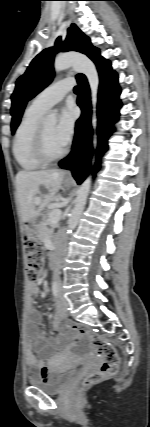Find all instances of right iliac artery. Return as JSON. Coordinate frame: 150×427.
<instances>
[{"label":"right iliac artery","instance_id":"1","mask_svg":"<svg viewBox=\"0 0 150 427\" xmlns=\"http://www.w3.org/2000/svg\"><path fill=\"white\" fill-rule=\"evenodd\" d=\"M52 293L55 297H58V284L56 282L52 284Z\"/></svg>","mask_w":150,"mask_h":427}]
</instances>
